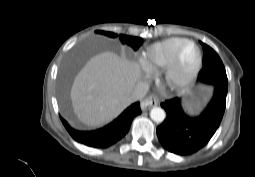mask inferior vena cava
Returning <instances> with one entry per match:
<instances>
[{"mask_svg": "<svg viewBox=\"0 0 255 177\" xmlns=\"http://www.w3.org/2000/svg\"><path fill=\"white\" fill-rule=\"evenodd\" d=\"M148 89H149V86H148L147 83H144V82L138 83L135 86L132 93L127 98V102L130 104V103H133L135 101L141 100L146 95Z\"/></svg>", "mask_w": 255, "mask_h": 177, "instance_id": "obj_1", "label": "inferior vena cava"}]
</instances>
